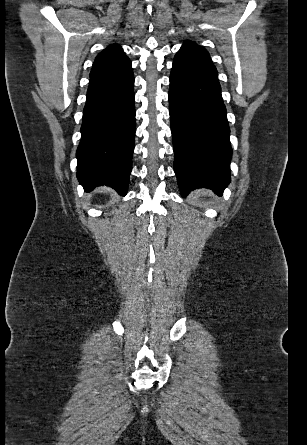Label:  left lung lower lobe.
<instances>
[{"mask_svg": "<svg viewBox=\"0 0 307 445\" xmlns=\"http://www.w3.org/2000/svg\"><path fill=\"white\" fill-rule=\"evenodd\" d=\"M169 112L174 170L182 196L201 187L221 196L230 182L232 149L217 76L176 55L170 75Z\"/></svg>", "mask_w": 307, "mask_h": 445, "instance_id": "1", "label": "left lung lower lobe"}]
</instances>
